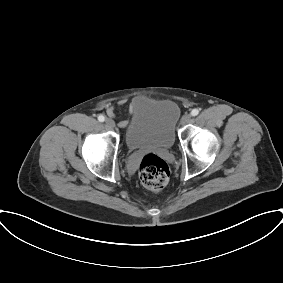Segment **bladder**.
I'll return each mask as SVG.
<instances>
[{
  "mask_svg": "<svg viewBox=\"0 0 283 283\" xmlns=\"http://www.w3.org/2000/svg\"><path fill=\"white\" fill-rule=\"evenodd\" d=\"M180 118L178 105L172 100H145L132 110L124 141L129 150L170 149L175 143Z\"/></svg>",
  "mask_w": 283,
  "mask_h": 283,
  "instance_id": "obj_1",
  "label": "bladder"
}]
</instances>
